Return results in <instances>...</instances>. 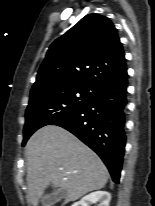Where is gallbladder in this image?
<instances>
[{
    "mask_svg": "<svg viewBox=\"0 0 155 206\" xmlns=\"http://www.w3.org/2000/svg\"><path fill=\"white\" fill-rule=\"evenodd\" d=\"M65 194L66 191L64 189L53 188L49 193L45 194L41 198L42 206H54L56 203L61 201Z\"/></svg>",
    "mask_w": 155,
    "mask_h": 206,
    "instance_id": "bac80fb5",
    "label": "gallbladder"
}]
</instances>
